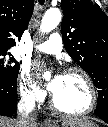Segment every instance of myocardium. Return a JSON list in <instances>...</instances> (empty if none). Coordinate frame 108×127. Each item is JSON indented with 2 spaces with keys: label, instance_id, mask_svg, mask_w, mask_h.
Here are the masks:
<instances>
[{
  "label": "myocardium",
  "instance_id": "f54148a6",
  "mask_svg": "<svg viewBox=\"0 0 108 127\" xmlns=\"http://www.w3.org/2000/svg\"><path fill=\"white\" fill-rule=\"evenodd\" d=\"M72 73L80 75L83 78V80H84V82L88 88L89 103H88L87 107L84 110L77 111V112L66 111V110H64L58 106V104L54 98L53 93L51 94V97H50V106L55 112H57L61 115L71 116V117L85 116V115L91 113L97 104L96 87H95L94 82L91 79L90 75L85 70H83L82 68L69 67L64 71V74H72Z\"/></svg>",
  "mask_w": 108,
  "mask_h": 127
}]
</instances>
